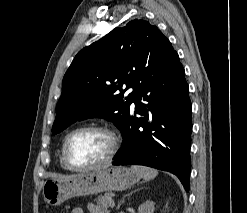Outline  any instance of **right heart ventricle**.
<instances>
[{
    "instance_id": "e07e8e85",
    "label": "right heart ventricle",
    "mask_w": 247,
    "mask_h": 213,
    "mask_svg": "<svg viewBox=\"0 0 247 213\" xmlns=\"http://www.w3.org/2000/svg\"><path fill=\"white\" fill-rule=\"evenodd\" d=\"M60 165L62 166V168L68 169V168L64 165V163H63L62 155H60Z\"/></svg>"
}]
</instances>
